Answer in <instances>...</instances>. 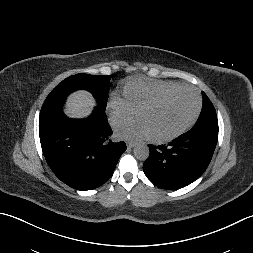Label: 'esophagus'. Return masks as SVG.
Masks as SVG:
<instances>
[{
	"label": "esophagus",
	"mask_w": 253,
	"mask_h": 253,
	"mask_svg": "<svg viewBox=\"0 0 253 253\" xmlns=\"http://www.w3.org/2000/svg\"><path fill=\"white\" fill-rule=\"evenodd\" d=\"M134 146H135V142H132V141L127 142V147H128V148H132V147H134Z\"/></svg>",
	"instance_id": "1"
}]
</instances>
